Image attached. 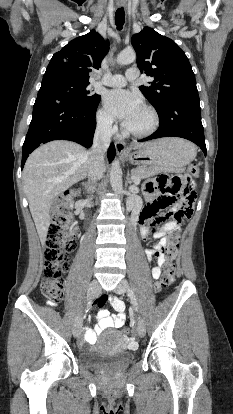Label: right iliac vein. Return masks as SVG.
<instances>
[{
	"mask_svg": "<svg viewBox=\"0 0 233 414\" xmlns=\"http://www.w3.org/2000/svg\"><path fill=\"white\" fill-rule=\"evenodd\" d=\"M100 291V285L98 283L97 280H93L88 287V291H87V298L88 299H92L94 297L97 296V294ZM82 328V318L81 315H79L75 321H74V325H73V335L74 337H78V335L80 334Z\"/></svg>",
	"mask_w": 233,
	"mask_h": 414,
	"instance_id": "1",
	"label": "right iliac vein"
}]
</instances>
